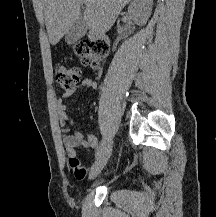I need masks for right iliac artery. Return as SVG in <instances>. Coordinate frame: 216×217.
<instances>
[{
    "label": "right iliac artery",
    "instance_id": "right-iliac-artery-1",
    "mask_svg": "<svg viewBox=\"0 0 216 217\" xmlns=\"http://www.w3.org/2000/svg\"><path fill=\"white\" fill-rule=\"evenodd\" d=\"M105 145H106V141L103 139V140L101 141V143H100V146H99V148H98V150H97V152H96L95 157L100 156V154H101V153L104 151V149H105Z\"/></svg>",
    "mask_w": 216,
    "mask_h": 217
}]
</instances>
